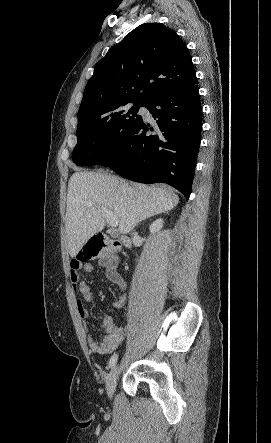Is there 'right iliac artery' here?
<instances>
[{
    "label": "right iliac artery",
    "instance_id": "1",
    "mask_svg": "<svg viewBox=\"0 0 271 443\" xmlns=\"http://www.w3.org/2000/svg\"><path fill=\"white\" fill-rule=\"evenodd\" d=\"M118 359V354H114L111 356L110 361H109V367L113 368L117 362Z\"/></svg>",
    "mask_w": 271,
    "mask_h": 443
}]
</instances>
